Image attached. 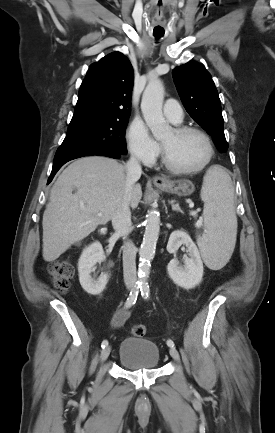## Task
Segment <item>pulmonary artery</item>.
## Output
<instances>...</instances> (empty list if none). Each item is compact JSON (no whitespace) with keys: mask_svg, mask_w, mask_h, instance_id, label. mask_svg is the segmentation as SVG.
I'll return each instance as SVG.
<instances>
[{"mask_svg":"<svg viewBox=\"0 0 275 433\" xmlns=\"http://www.w3.org/2000/svg\"><path fill=\"white\" fill-rule=\"evenodd\" d=\"M163 111L165 116L172 122V123H180L183 119V109L181 105L175 101V100H167L164 103Z\"/></svg>","mask_w":275,"mask_h":433,"instance_id":"obj_1","label":"pulmonary artery"}]
</instances>
